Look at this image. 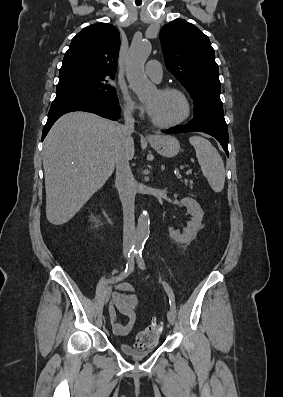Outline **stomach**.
<instances>
[{"label": "stomach", "mask_w": 283, "mask_h": 397, "mask_svg": "<svg viewBox=\"0 0 283 397\" xmlns=\"http://www.w3.org/2000/svg\"><path fill=\"white\" fill-rule=\"evenodd\" d=\"M150 145L162 156L171 158L180 151L179 141L170 135H155L149 139Z\"/></svg>", "instance_id": "1"}]
</instances>
